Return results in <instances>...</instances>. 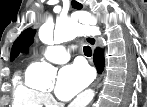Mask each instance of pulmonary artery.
Listing matches in <instances>:
<instances>
[{
  "mask_svg": "<svg viewBox=\"0 0 147 107\" xmlns=\"http://www.w3.org/2000/svg\"><path fill=\"white\" fill-rule=\"evenodd\" d=\"M43 56L53 63H65L70 59V52L63 46H47L42 52Z\"/></svg>",
  "mask_w": 147,
  "mask_h": 107,
  "instance_id": "obj_1",
  "label": "pulmonary artery"
}]
</instances>
